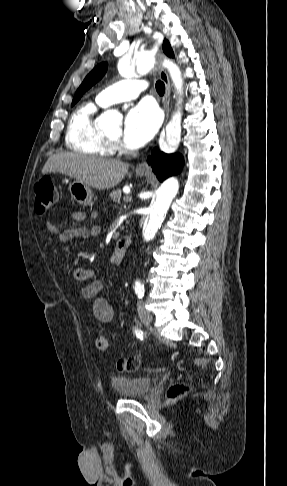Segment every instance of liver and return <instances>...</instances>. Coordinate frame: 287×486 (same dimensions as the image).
Wrapping results in <instances>:
<instances>
[{"label":"liver","mask_w":287,"mask_h":486,"mask_svg":"<svg viewBox=\"0 0 287 486\" xmlns=\"http://www.w3.org/2000/svg\"><path fill=\"white\" fill-rule=\"evenodd\" d=\"M129 164L78 153H58L50 156L42 174L59 172L96 189H110L119 184L128 172Z\"/></svg>","instance_id":"6515ba94"}]
</instances>
